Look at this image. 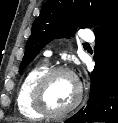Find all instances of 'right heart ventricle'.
<instances>
[{
    "mask_svg": "<svg viewBox=\"0 0 118 123\" xmlns=\"http://www.w3.org/2000/svg\"><path fill=\"white\" fill-rule=\"evenodd\" d=\"M47 63H41L27 72L20 83L16 103L19 112L29 119H41L42 113L37 111L33 104V93L35 85L42 74L48 69Z\"/></svg>",
    "mask_w": 118,
    "mask_h": 123,
    "instance_id": "e07e8e85",
    "label": "right heart ventricle"
}]
</instances>
